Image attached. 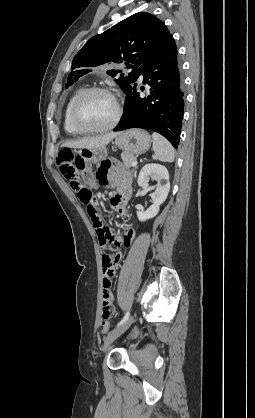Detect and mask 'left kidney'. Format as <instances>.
<instances>
[{"instance_id":"obj_1","label":"left kidney","mask_w":255,"mask_h":418,"mask_svg":"<svg viewBox=\"0 0 255 418\" xmlns=\"http://www.w3.org/2000/svg\"><path fill=\"white\" fill-rule=\"evenodd\" d=\"M149 178L157 181L156 189L150 195L153 204L145 212L137 211L139 221H146L155 217L159 212L160 205L166 200L170 190L169 174L163 165L155 163L145 165L139 173L138 185L149 190L150 188L147 183Z\"/></svg>"}]
</instances>
